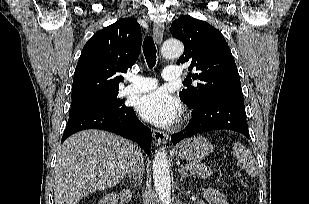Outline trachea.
I'll return each mask as SVG.
<instances>
[{
  "instance_id": "trachea-1",
  "label": "trachea",
  "mask_w": 309,
  "mask_h": 204,
  "mask_svg": "<svg viewBox=\"0 0 309 204\" xmlns=\"http://www.w3.org/2000/svg\"><path fill=\"white\" fill-rule=\"evenodd\" d=\"M156 47L152 37L148 36L143 42V53L149 68H153L156 64ZM184 83H188L184 81Z\"/></svg>"
}]
</instances>
